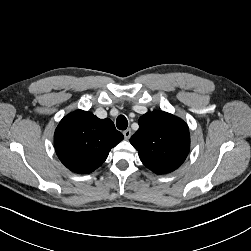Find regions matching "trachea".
Segmentation results:
<instances>
[{
    "mask_svg": "<svg viewBox=\"0 0 251 251\" xmlns=\"http://www.w3.org/2000/svg\"><path fill=\"white\" fill-rule=\"evenodd\" d=\"M116 126L119 130H126L128 127V120L124 115H119L116 120Z\"/></svg>",
    "mask_w": 251,
    "mask_h": 251,
    "instance_id": "trachea-1",
    "label": "trachea"
}]
</instances>
